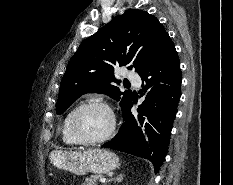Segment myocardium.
Listing matches in <instances>:
<instances>
[{"label": "myocardium", "mask_w": 233, "mask_h": 185, "mask_svg": "<svg viewBox=\"0 0 233 185\" xmlns=\"http://www.w3.org/2000/svg\"><path fill=\"white\" fill-rule=\"evenodd\" d=\"M103 108L105 110H107L111 116V127L109 129V131L99 137V138H94V139H89V138H85L84 136L81 135V133L78 130L77 127V123L78 120L80 118V116L87 110L91 109V108ZM116 126H117V122H116V117L115 114L113 112V110L111 109V107L103 102V101H98V100H94V101H90L88 103H85L83 105H81L72 115L71 120H70V132L71 135L73 136V138L80 144H84V145H95V144H100L103 143L107 140H109L115 133L116 131Z\"/></svg>", "instance_id": "f54148a6"}]
</instances>
